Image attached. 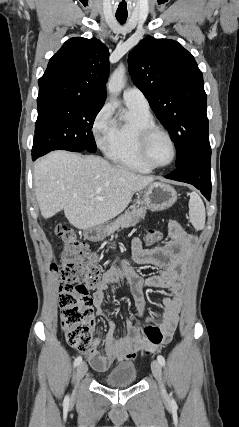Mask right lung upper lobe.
<instances>
[{
  "instance_id": "cb5924a9",
  "label": "right lung upper lobe",
  "mask_w": 239,
  "mask_h": 427,
  "mask_svg": "<svg viewBox=\"0 0 239 427\" xmlns=\"http://www.w3.org/2000/svg\"><path fill=\"white\" fill-rule=\"evenodd\" d=\"M109 51L98 39L75 37L50 59L39 79L37 100H68L103 106Z\"/></svg>"
}]
</instances>
